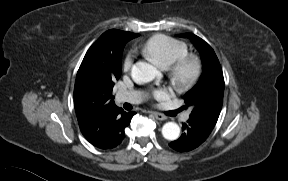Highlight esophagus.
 I'll list each match as a JSON object with an SVG mask.
<instances>
[{"mask_svg": "<svg viewBox=\"0 0 288 181\" xmlns=\"http://www.w3.org/2000/svg\"><path fill=\"white\" fill-rule=\"evenodd\" d=\"M153 116L157 119V120H165L166 119V116L161 114V113H158V112H152Z\"/></svg>", "mask_w": 288, "mask_h": 181, "instance_id": "1", "label": "esophagus"}]
</instances>
